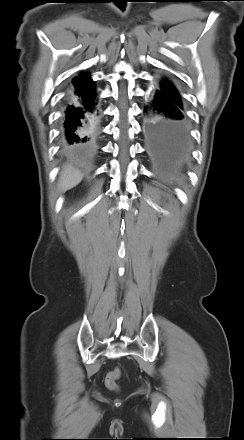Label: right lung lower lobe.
<instances>
[{"instance_id": "1", "label": "right lung lower lobe", "mask_w": 244, "mask_h": 440, "mask_svg": "<svg viewBox=\"0 0 244 440\" xmlns=\"http://www.w3.org/2000/svg\"><path fill=\"white\" fill-rule=\"evenodd\" d=\"M99 122L96 94L87 98L68 95L60 125L63 149L74 151L92 142L98 134Z\"/></svg>"}]
</instances>
